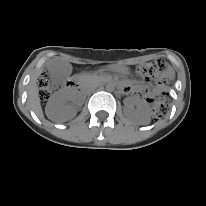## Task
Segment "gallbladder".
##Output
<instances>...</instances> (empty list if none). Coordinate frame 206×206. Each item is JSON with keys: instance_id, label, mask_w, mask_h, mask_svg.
I'll return each instance as SVG.
<instances>
[{"instance_id": "1", "label": "gallbladder", "mask_w": 206, "mask_h": 206, "mask_svg": "<svg viewBox=\"0 0 206 206\" xmlns=\"http://www.w3.org/2000/svg\"><path fill=\"white\" fill-rule=\"evenodd\" d=\"M46 68L49 72L50 80L56 85L62 84L72 73L71 64L60 59L47 61Z\"/></svg>"}]
</instances>
